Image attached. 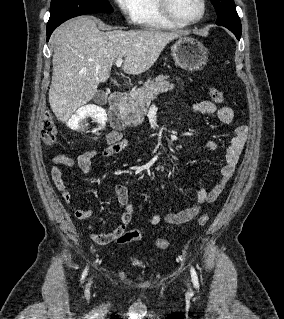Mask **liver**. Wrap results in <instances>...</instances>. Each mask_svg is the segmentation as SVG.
<instances>
[{
	"instance_id": "1",
	"label": "liver",
	"mask_w": 284,
	"mask_h": 319,
	"mask_svg": "<svg viewBox=\"0 0 284 319\" xmlns=\"http://www.w3.org/2000/svg\"><path fill=\"white\" fill-rule=\"evenodd\" d=\"M161 30L101 31L97 20L81 16L59 26L52 34L53 74L49 103L56 118L66 122L89 102L105 82L117 59L122 70L138 75L151 68L164 47L179 38Z\"/></svg>"
}]
</instances>
